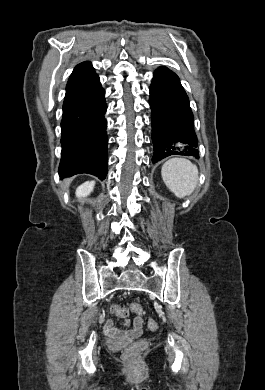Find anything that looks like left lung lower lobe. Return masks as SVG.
I'll return each mask as SVG.
<instances>
[{"instance_id":"obj_1","label":"left lung lower lobe","mask_w":265,"mask_h":390,"mask_svg":"<svg viewBox=\"0 0 265 390\" xmlns=\"http://www.w3.org/2000/svg\"><path fill=\"white\" fill-rule=\"evenodd\" d=\"M149 104L152 110V141L156 163L171 155L199 158L189 98L179 77L162 66L153 74Z\"/></svg>"}]
</instances>
